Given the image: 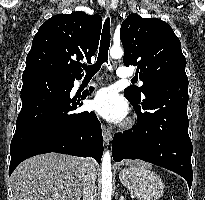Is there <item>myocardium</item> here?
I'll return each mask as SVG.
<instances>
[{
  "label": "myocardium",
  "mask_w": 205,
  "mask_h": 200,
  "mask_svg": "<svg viewBox=\"0 0 205 200\" xmlns=\"http://www.w3.org/2000/svg\"><path fill=\"white\" fill-rule=\"evenodd\" d=\"M133 125V121L132 120H129L127 123H126V127H131Z\"/></svg>",
  "instance_id": "f54148a6"
}]
</instances>
